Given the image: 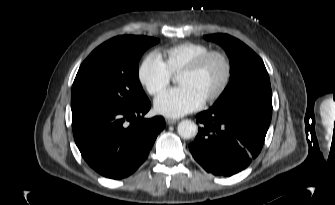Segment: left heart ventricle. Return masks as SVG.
<instances>
[{
  "label": "left heart ventricle",
  "mask_w": 335,
  "mask_h": 205,
  "mask_svg": "<svg viewBox=\"0 0 335 205\" xmlns=\"http://www.w3.org/2000/svg\"><path fill=\"white\" fill-rule=\"evenodd\" d=\"M224 71L223 62L219 58H213L200 72L191 75H179L178 84L192 88L205 99L218 89L223 79Z\"/></svg>",
  "instance_id": "b2bd125f"
}]
</instances>
